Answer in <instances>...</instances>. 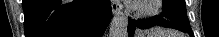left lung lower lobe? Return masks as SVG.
Listing matches in <instances>:
<instances>
[{
  "label": "left lung lower lobe",
  "instance_id": "left-lung-lower-lobe-1",
  "mask_svg": "<svg viewBox=\"0 0 219 37\" xmlns=\"http://www.w3.org/2000/svg\"><path fill=\"white\" fill-rule=\"evenodd\" d=\"M163 26V27H169V28H174L177 30H180L184 33H187L188 35H190L191 37H194L193 32H189L184 30L183 28L177 26L176 24L170 22L169 20H165L163 19L161 16H155L153 18H150L148 20H132L131 18H129L128 21V37H133L134 35V31L136 28H140V29H146L149 27H153V26Z\"/></svg>",
  "mask_w": 219,
  "mask_h": 37
}]
</instances>
